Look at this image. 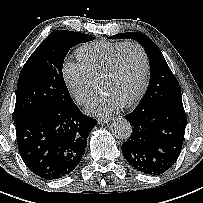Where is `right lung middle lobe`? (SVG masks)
I'll use <instances>...</instances> for the list:
<instances>
[{"instance_id": "obj_1", "label": "right lung middle lobe", "mask_w": 203, "mask_h": 203, "mask_svg": "<svg viewBox=\"0 0 203 203\" xmlns=\"http://www.w3.org/2000/svg\"><path fill=\"white\" fill-rule=\"evenodd\" d=\"M93 39L88 34L57 30L37 47L19 76L14 123L32 114L73 102L62 74L64 58L71 47Z\"/></svg>"}]
</instances>
